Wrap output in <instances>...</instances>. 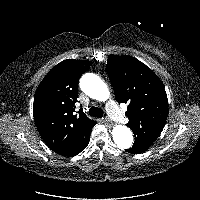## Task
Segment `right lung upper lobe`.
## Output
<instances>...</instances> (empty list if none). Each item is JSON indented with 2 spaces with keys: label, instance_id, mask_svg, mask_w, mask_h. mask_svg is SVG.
Returning <instances> with one entry per match:
<instances>
[{
  "label": "right lung upper lobe",
  "instance_id": "right-lung-upper-lobe-1",
  "mask_svg": "<svg viewBox=\"0 0 200 200\" xmlns=\"http://www.w3.org/2000/svg\"><path fill=\"white\" fill-rule=\"evenodd\" d=\"M90 65L85 60H64L50 70L35 92L38 132L51 150L63 156L77 155L96 123L82 109L75 110L78 80Z\"/></svg>",
  "mask_w": 200,
  "mask_h": 200
}]
</instances>
